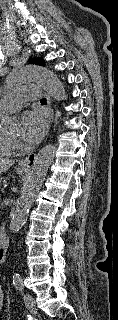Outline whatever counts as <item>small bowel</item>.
<instances>
[{
    "label": "small bowel",
    "mask_w": 118,
    "mask_h": 320,
    "mask_svg": "<svg viewBox=\"0 0 118 320\" xmlns=\"http://www.w3.org/2000/svg\"><path fill=\"white\" fill-rule=\"evenodd\" d=\"M4 306V293L2 290V286L0 285V312L2 311Z\"/></svg>",
    "instance_id": "1"
}]
</instances>
